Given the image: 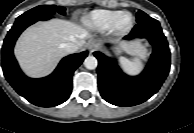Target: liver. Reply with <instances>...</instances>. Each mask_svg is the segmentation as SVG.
<instances>
[{
  "instance_id": "6515ba94",
  "label": "liver",
  "mask_w": 194,
  "mask_h": 133,
  "mask_svg": "<svg viewBox=\"0 0 194 133\" xmlns=\"http://www.w3.org/2000/svg\"><path fill=\"white\" fill-rule=\"evenodd\" d=\"M89 36L88 31L73 22L53 19L27 28L19 37L14 53L22 70L30 77H44L50 74L67 53L62 45L75 43L82 49ZM131 55L146 53V47L139 41L123 43Z\"/></svg>"
}]
</instances>
